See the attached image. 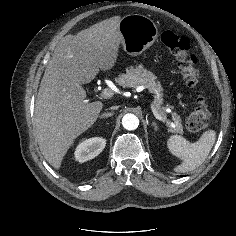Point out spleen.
Instances as JSON below:
<instances>
[{
	"mask_svg": "<svg viewBox=\"0 0 236 236\" xmlns=\"http://www.w3.org/2000/svg\"><path fill=\"white\" fill-rule=\"evenodd\" d=\"M216 139L214 130L205 131L195 143H190L180 135H171L167 141L169 151L183 160L175 168L176 172H188L199 167L209 155Z\"/></svg>",
	"mask_w": 236,
	"mask_h": 236,
	"instance_id": "obj_1",
	"label": "spleen"
}]
</instances>
